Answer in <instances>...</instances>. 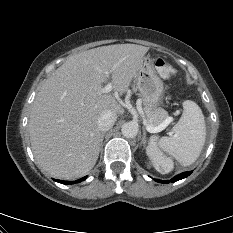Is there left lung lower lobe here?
Here are the masks:
<instances>
[{"instance_id":"left-lung-lower-lobe-1","label":"left lung lower lobe","mask_w":233,"mask_h":233,"mask_svg":"<svg viewBox=\"0 0 233 233\" xmlns=\"http://www.w3.org/2000/svg\"><path fill=\"white\" fill-rule=\"evenodd\" d=\"M192 173V171H188V172H183L177 176H175L174 178H172L171 180H167V181H162V180H158L156 179L157 182L160 183H169V182H176L178 180H181L183 178H186L187 176H189Z\"/></svg>"}]
</instances>
